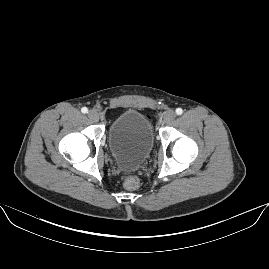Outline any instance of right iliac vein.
I'll return each instance as SVG.
<instances>
[{
	"instance_id": "right-iliac-vein-1",
	"label": "right iliac vein",
	"mask_w": 269,
	"mask_h": 269,
	"mask_svg": "<svg viewBox=\"0 0 269 269\" xmlns=\"http://www.w3.org/2000/svg\"><path fill=\"white\" fill-rule=\"evenodd\" d=\"M88 117L90 120L97 122L99 120V114L96 110L88 111Z\"/></svg>"
}]
</instances>
